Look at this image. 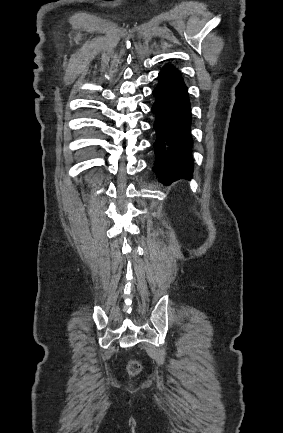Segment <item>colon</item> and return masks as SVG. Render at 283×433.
<instances>
[{"mask_svg": "<svg viewBox=\"0 0 283 433\" xmlns=\"http://www.w3.org/2000/svg\"><path fill=\"white\" fill-rule=\"evenodd\" d=\"M139 370H140V365L137 361H131L128 364V372L130 374H133V375L137 374L139 372Z\"/></svg>", "mask_w": 283, "mask_h": 433, "instance_id": "obj_1", "label": "colon"}]
</instances>
